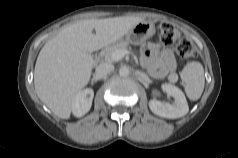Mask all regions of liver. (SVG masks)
<instances>
[{
    "mask_svg": "<svg viewBox=\"0 0 238 158\" xmlns=\"http://www.w3.org/2000/svg\"><path fill=\"white\" fill-rule=\"evenodd\" d=\"M142 21L139 17H115L63 26L42 47L35 64L34 85L39 99L56 116L68 119L77 94L91 77L94 59L89 53L120 40Z\"/></svg>",
    "mask_w": 238,
    "mask_h": 158,
    "instance_id": "6515ba94",
    "label": "liver"
}]
</instances>
